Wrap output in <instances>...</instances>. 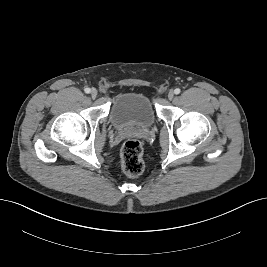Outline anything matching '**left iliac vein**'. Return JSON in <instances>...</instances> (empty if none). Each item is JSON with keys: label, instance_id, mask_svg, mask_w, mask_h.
<instances>
[{"label": "left iliac vein", "instance_id": "1", "mask_svg": "<svg viewBox=\"0 0 267 267\" xmlns=\"http://www.w3.org/2000/svg\"><path fill=\"white\" fill-rule=\"evenodd\" d=\"M173 97H174V92L171 90V91H169V93H168V99H169V100H172Z\"/></svg>", "mask_w": 267, "mask_h": 267}]
</instances>
